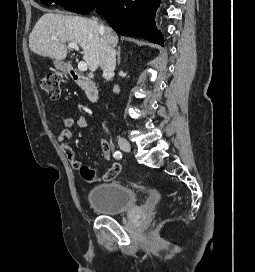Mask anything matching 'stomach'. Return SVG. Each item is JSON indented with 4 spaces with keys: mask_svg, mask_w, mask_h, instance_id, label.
I'll return each instance as SVG.
<instances>
[{
    "mask_svg": "<svg viewBox=\"0 0 255 272\" xmlns=\"http://www.w3.org/2000/svg\"><path fill=\"white\" fill-rule=\"evenodd\" d=\"M54 66L62 72H66L68 70L67 65L62 61H55Z\"/></svg>",
    "mask_w": 255,
    "mask_h": 272,
    "instance_id": "0dacf381",
    "label": "stomach"
}]
</instances>
